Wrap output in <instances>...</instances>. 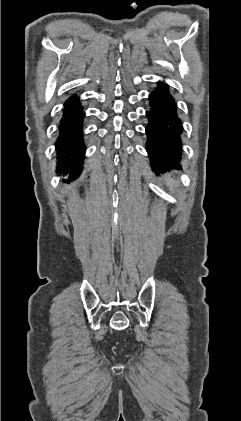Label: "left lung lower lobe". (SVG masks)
I'll use <instances>...</instances> for the list:
<instances>
[{"instance_id": "1", "label": "left lung lower lobe", "mask_w": 241, "mask_h": 421, "mask_svg": "<svg viewBox=\"0 0 241 421\" xmlns=\"http://www.w3.org/2000/svg\"><path fill=\"white\" fill-rule=\"evenodd\" d=\"M150 110L146 112L149 123L146 128V149L151 157L154 172L179 168L181 161V120L177 104L167 84L158 82L150 96Z\"/></svg>"}]
</instances>
